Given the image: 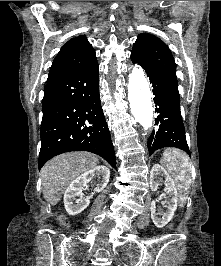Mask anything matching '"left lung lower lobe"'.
Wrapping results in <instances>:
<instances>
[{
	"label": "left lung lower lobe",
	"instance_id": "0a47b994",
	"mask_svg": "<svg viewBox=\"0 0 221 266\" xmlns=\"http://www.w3.org/2000/svg\"><path fill=\"white\" fill-rule=\"evenodd\" d=\"M132 62L134 63L133 60ZM146 73L152 83L155 112L158 113L155 121L158 128L152 132L148 140L149 154L163 147H176L190 155L180 111L177 78L159 73Z\"/></svg>",
	"mask_w": 221,
	"mask_h": 266
}]
</instances>
